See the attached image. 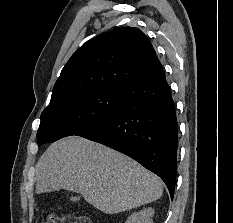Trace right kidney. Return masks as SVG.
<instances>
[{
	"mask_svg": "<svg viewBox=\"0 0 233 223\" xmlns=\"http://www.w3.org/2000/svg\"><path fill=\"white\" fill-rule=\"evenodd\" d=\"M154 209L153 207H144L141 211L131 213L125 223H153Z\"/></svg>",
	"mask_w": 233,
	"mask_h": 223,
	"instance_id": "1",
	"label": "right kidney"
}]
</instances>
